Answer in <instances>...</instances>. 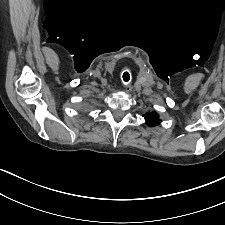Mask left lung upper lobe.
<instances>
[{
	"instance_id": "1",
	"label": "left lung upper lobe",
	"mask_w": 225,
	"mask_h": 225,
	"mask_svg": "<svg viewBox=\"0 0 225 225\" xmlns=\"http://www.w3.org/2000/svg\"><path fill=\"white\" fill-rule=\"evenodd\" d=\"M144 118L149 126H156L160 123L159 115L156 112L147 113Z\"/></svg>"
}]
</instances>
